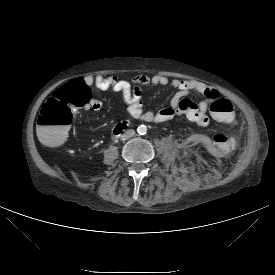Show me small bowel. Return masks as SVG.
<instances>
[{"mask_svg":"<svg viewBox=\"0 0 275 275\" xmlns=\"http://www.w3.org/2000/svg\"><path fill=\"white\" fill-rule=\"evenodd\" d=\"M84 80L87 85L119 93L129 114L133 118L145 122L163 123L178 116H186L190 121L200 126H206L210 122L208 101L211 100V97L219 96V92L215 88L205 86L196 80L170 79L161 74L138 75L132 80L120 79L116 76L94 75L87 76ZM141 86H170L176 90V93L171 99L170 106L157 112L144 111ZM195 92L205 95L207 101L199 104L190 101L188 97ZM102 106L103 103L100 100H92L86 109L100 110ZM211 142L215 151L223 157L232 155L236 147L234 138L223 130L214 132Z\"/></svg>","mask_w":275,"mask_h":275,"instance_id":"obj_1","label":"small bowel"}]
</instances>
